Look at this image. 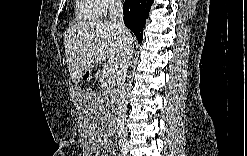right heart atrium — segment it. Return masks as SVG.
Listing matches in <instances>:
<instances>
[{"label": "right heart atrium", "mask_w": 247, "mask_h": 156, "mask_svg": "<svg viewBox=\"0 0 247 156\" xmlns=\"http://www.w3.org/2000/svg\"><path fill=\"white\" fill-rule=\"evenodd\" d=\"M96 2L99 6V13L101 15L108 13L119 5V2L116 0H98Z\"/></svg>", "instance_id": "1"}]
</instances>
